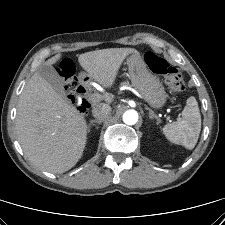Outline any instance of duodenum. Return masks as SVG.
<instances>
[{
	"instance_id": "1",
	"label": "duodenum",
	"mask_w": 225,
	"mask_h": 225,
	"mask_svg": "<svg viewBox=\"0 0 225 225\" xmlns=\"http://www.w3.org/2000/svg\"><path fill=\"white\" fill-rule=\"evenodd\" d=\"M87 82H88V78H86L84 76H81V78H80V84L81 85H84ZM81 91H82V93H81L82 97L85 98V96L87 95V90L84 87L81 86Z\"/></svg>"
}]
</instances>
